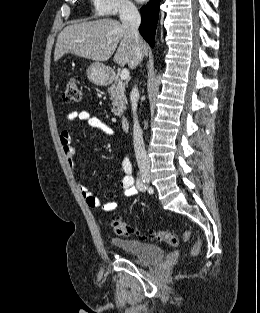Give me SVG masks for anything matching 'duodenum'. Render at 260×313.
Returning a JSON list of instances; mask_svg holds the SVG:
<instances>
[{
  "label": "duodenum",
  "instance_id": "410a0bca",
  "mask_svg": "<svg viewBox=\"0 0 260 313\" xmlns=\"http://www.w3.org/2000/svg\"><path fill=\"white\" fill-rule=\"evenodd\" d=\"M121 125L124 130H127L129 128V119L127 116H124L121 120Z\"/></svg>",
  "mask_w": 260,
  "mask_h": 313
}]
</instances>
